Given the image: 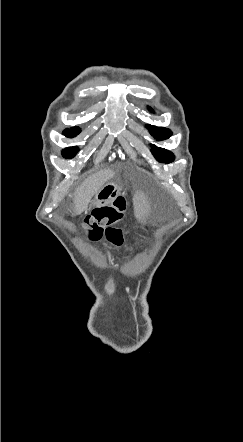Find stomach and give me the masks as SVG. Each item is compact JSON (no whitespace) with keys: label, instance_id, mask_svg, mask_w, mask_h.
I'll use <instances>...</instances> for the list:
<instances>
[{"label":"stomach","instance_id":"stomach-1","mask_svg":"<svg viewBox=\"0 0 243 442\" xmlns=\"http://www.w3.org/2000/svg\"><path fill=\"white\" fill-rule=\"evenodd\" d=\"M119 194V187L113 182L105 184L95 195L91 207H100L110 203Z\"/></svg>","mask_w":243,"mask_h":442}]
</instances>
